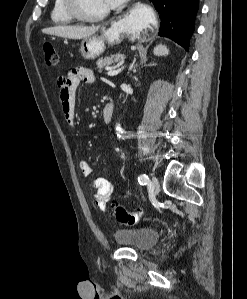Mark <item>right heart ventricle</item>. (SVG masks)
I'll return each instance as SVG.
<instances>
[{
    "instance_id": "e07e8e85",
    "label": "right heart ventricle",
    "mask_w": 247,
    "mask_h": 299,
    "mask_svg": "<svg viewBox=\"0 0 247 299\" xmlns=\"http://www.w3.org/2000/svg\"><path fill=\"white\" fill-rule=\"evenodd\" d=\"M50 18L54 24L67 25L71 24L74 19L65 9L64 0H54L50 12Z\"/></svg>"
}]
</instances>
